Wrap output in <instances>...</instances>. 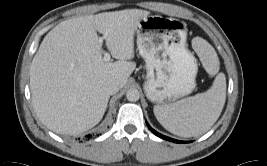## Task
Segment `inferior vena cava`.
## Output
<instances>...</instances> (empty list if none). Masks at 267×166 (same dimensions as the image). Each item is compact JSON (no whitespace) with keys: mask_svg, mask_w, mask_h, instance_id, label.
Here are the masks:
<instances>
[{"mask_svg":"<svg viewBox=\"0 0 267 166\" xmlns=\"http://www.w3.org/2000/svg\"><path fill=\"white\" fill-rule=\"evenodd\" d=\"M120 89V85L115 81H109L105 85V90L109 95L117 93Z\"/></svg>","mask_w":267,"mask_h":166,"instance_id":"inferior-vena-cava-1","label":"inferior vena cava"}]
</instances>
